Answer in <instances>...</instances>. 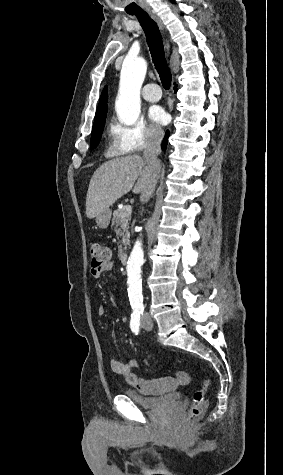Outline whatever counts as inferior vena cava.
<instances>
[{
    "mask_svg": "<svg viewBox=\"0 0 283 475\" xmlns=\"http://www.w3.org/2000/svg\"><path fill=\"white\" fill-rule=\"evenodd\" d=\"M164 138V132H147L146 146L143 152V160L146 162L145 174L149 176L150 182L147 186V192L142 194L141 202H148L152 194L155 192V186L159 178L161 164L158 160L161 154V142Z\"/></svg>",
    "mask_w": 283,
    "mask_h": 475,
    "instance_id": "obj_1",
    "label": "inferior vena cava"
}]
</instances>
